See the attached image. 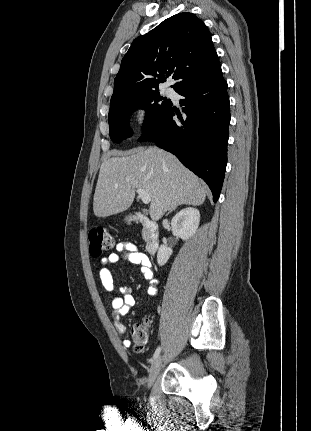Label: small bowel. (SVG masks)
<instances>
[{
  "label": "small bowel",
  "mask_w": 311,
  "mask_h": 431,
  "mask_svg": "<svg viewBox=\"0 0 311 431\" xmlns=\"http://www.w3.org/2000/svg\"><path fill=\"white\" fill-rule=\"evenodd\" d=\"M121 258L128 260L130 263L138 265L144 277L150 281L149 294L155 295L157 292L158 281L154 278L153 267L150 259L146 254L139 251L137 246L131 242H120L116 245V252L101 259L102 268L100 269L101 284L110 300L113 309L112 321L121 334L126 333V327L121 322V317L128 313L135 303V296L131 288L120 287L122 296L115 294V284L113 274L109 265L118 262ZM123 346L129 347L130 340L124 339Z\"/></svg>",
  "instance_id": "c3829d8e"
}]
</instances>
